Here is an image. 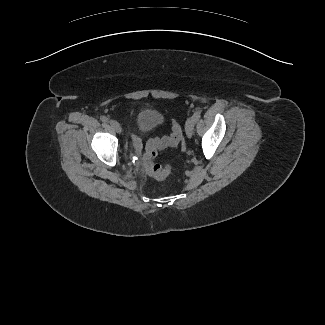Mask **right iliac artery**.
<instances>
[{
  "label": "right iliac artery",
  "mask_w": 325,
  "mask_h": 325,
  "mask_svg": "<svg viewBox=\"0 0 325 325\" xmlns=\"http://www.w3.org/2000/svg\"><path fill=\"white\" fill-rule=\"evenodd\" d=\"M100 120L103 121V122H107V121H108V118L105 117V116H101V117H100Z\"/></svg>",
  "instance_id": "82829eb1"
}]
</instances>
